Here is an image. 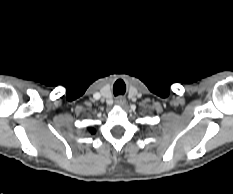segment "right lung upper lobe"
I'll list each match as a JSON object with an SVG mask.
<instances>
[{"label":"right lung upper lobe","mask_w":233,"mask_h":194,"mask_svg":"<svg viewBox=\"0 0 233 194\" xmlns=\"http://www.w3.org/2000/svg\"><path fill=\"white\" fill-rule=\"evenodd\" d=\"M90 132H91V133H95V130L91 128V129H90Z\"/></svg>","instance_id":"right-lung-upper-lobe-1"}]
</instances>
